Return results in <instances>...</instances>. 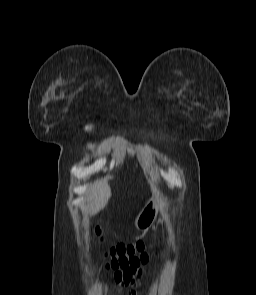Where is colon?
<instances>
[{"label":"colon","mask_w":256,"mask_h":295,"mask_svg":"<svg viewBox=\"0 0 256 295\" xmlns=\"http://www.w3.org/2000/svg\"><path fill=\"white\" fill-rule=\"evenodd\" d=\"M94 235L98 240H102V231L99 227L94 229ZM154 255L155 252L151 250V246L145 241H137L131 244H118L107 251V266L111 269H136L148 263Z\"/></svg>","instance_id":"1"}]
</instances>
